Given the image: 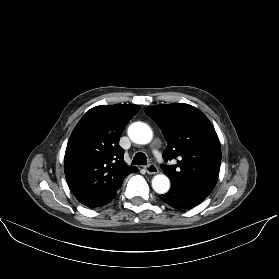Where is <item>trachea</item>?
Returning a JSON list of instances; mask_svg holds the SVG:
<instances>
[{
	"instance_id": "trachea-1",
	"label": "trachea",
	"mask_w": 279,
	"mask_h": 279,
	"mask_svg": "<svg viewBox=\"0 0 279 279\" xmlns=\"http://www.w3.org/2000/svg\"><path fill=\"white\" fill-rule=\"evenodd\" d=\"M146 163H147L146 155L141 152L136 153L132 160V164L134 165H146Z\"/></svg>"
}]
</instances>
